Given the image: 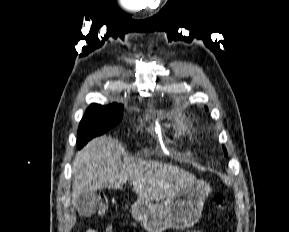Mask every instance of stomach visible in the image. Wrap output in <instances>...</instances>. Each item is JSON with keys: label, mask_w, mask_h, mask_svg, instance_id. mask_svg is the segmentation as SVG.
I'll use <instances>...</instances> for the list:
<instances>
[{"label": "stomach", "mask_w": 289, "mask_h": 232, "mask_svg": "<svg viewBox=\"0 0 289 232\" xmlns=\"http://www.w3.org/2000/svg\"><path fill=\"white\" fill-rule=\"evenodd\" d=\"M210 185L195 180L162 203L139 197L132 206V216L142 222L147 232H164L169 228L183 230L193 226L201 217Z\"/></svg>", "instance_id": "stomach-1"}]
</instances>
